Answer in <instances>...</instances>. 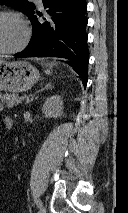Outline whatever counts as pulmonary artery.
<instances>
[{
    "label": "pulmonary artery",
    "instance_id": "obj_1",
    "mask_svg": "<svg viewBox=\"0 0 128 213\" xmlns=\"http://www.w3.org/2000/svg\"><path fill=\"white\" fill-rule=\"evenodd\" d=\"M35 2L37 3V5H38L39 7H42V0H35Z\"/></svg>",
    "mask_w": 128,
    "mask_h": 213
}]
</instances>
